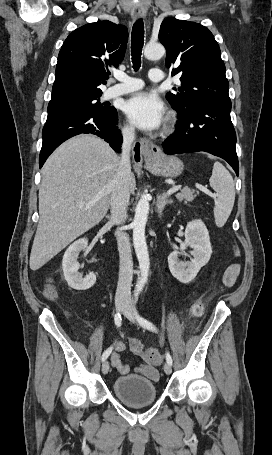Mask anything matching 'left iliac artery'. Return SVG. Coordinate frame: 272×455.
I'll use <instances>...</instances> for the list:
<instances>
[{"instance_id":"1","label":"left iliac artery","mask_w":272,"mask_h":455,"mask_svg":"<svg viewBox=\"0 0 272 455\" xmlns=\"http://www.w3.org/2000/svg\"><path fill=\"white\" fill-rule=\"evenodd\" d=\"M136 300H137V297H136ZM137 320L142 327H144L148 330H151V331H157L156 327L150 321H148L140 316H137ZM166 361L168 364L172 365V357L169 354V352L166 353Z\"/></svg>"}]
</instances>
